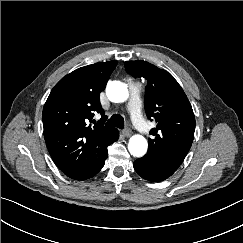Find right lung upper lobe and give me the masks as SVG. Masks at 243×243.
I'll use <instances>...</instances> for the list:
<instances>
[{
	"label": "right lung upper lobe",
	"mask_w": 243,
	"mask_h": 243,
	"mask_svg": "<svg viewBox=\"0 0 243 243\" xmlns=\"http://www.w3.org/2000/svg\"><path fill=\"white\" fill-rule=\"evenodd\" d=\"M117 61L81 67L63 77L52 89L43 108L44 138L48 151L64 172L89 168L118 133L98 122L91 126L94 112L103 117L99 94Z\"/></svg>",
	"instance_id": "obj_1"
}]
</instances>
